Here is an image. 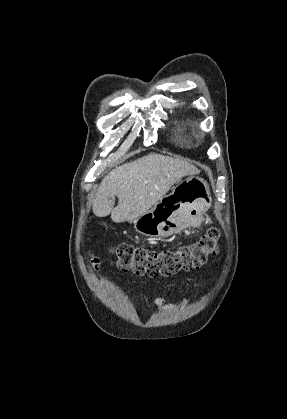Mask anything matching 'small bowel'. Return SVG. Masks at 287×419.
<instances>
[{
	"mask_svg": "<svg viewBox=\"0 0 287 419\" xmlns=\"http://www.w3.org/2000/svg\"><path fill=\"white\" fill-rule=\"evenodd\" d=\"M99 259L98 258H92L91 259V264H92V266H93V268L95 269V270H98V267H99ZM152 303L154 304V305H156V306H158L159 308H161V309H168V308H171L172 307V305H164L163 304V300H161V299H155V300H153L152 301Z\"/></svg>",
	"mask_w": 287,
	"mask_h": 419,
	"instance_id": "1",
	"label": "small bowel"
}]
</instances>
